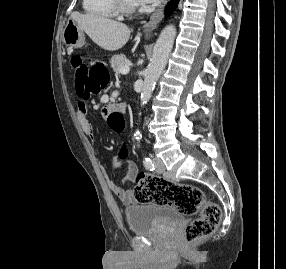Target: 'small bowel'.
I'll return each mask as SVG.
<instances>
[{
  "instance_id": "1",
  "label": "small bowel",
  "mask_w": 286,
  "mask_h": 269,
  "mask_svg": "<svg viewBox=\"0 0 286 269\" xmlns=\"http://www.w3.org/2000/svg\"><path fill=\"white\" fill-rule=\"evenodd\" d=\"M100 110H102L100 111L101 120H109L110 116L112 115V110L108 108V105H100ZM87 114L88 108L86 102L84 100L79 101L76 106V116L78 122L81 126L82 131L90 138H94L93 125L89 121ZM115 162L117 164L126 166L128 170V174L124 182H133L136 178V175L138 174V167L134 163V161L128 155H118ZM102 170L108 187L114 193V195L121 200L122 203L129 205L136 202L135 193L132 189L117 185L114 181L111 180L108 173L103 167Z\"/></svg>"
}]
</instances>
